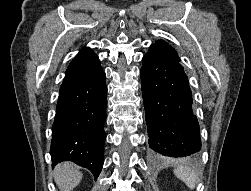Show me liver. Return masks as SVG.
Instances as JSON below:
<instances>
[{
  "mask_svg": "<svg viewBox=\"0 0 251 191\" xmlns=\"http://www.w3.org/2000/svg\"><path fill=\"white\" fill-rule=\"evenodd\" d=\"M53 177L60 191H71L81 181L82 173L75 169L71 161H62L55 165Z\"/></svg>",
  "mask_w": 251,
  "mask_h": 191,
  "instance_id": "6515ba94",
  "label": "liver"
}]
</instances>
